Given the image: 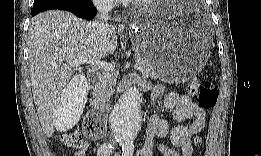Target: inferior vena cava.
Returning <instances> with one entry per match:
<instances>
[{"label": "inferior vena cava", "mask_w": 261, "mask_h": 156, "mask_svg": "<svg viewBox=\"0 0 261 156\" xmlns=\"http://www.w3.org/2000/svg\"><path fill=\"white\" fill-rule=\"evenodd\" d=\"M95 7L97 8L98 14L96 19L91 23V29L93 36L97 39H104L107 35L109 28L108 13L112 10L113 5L111 0H98L95 1Z\"/></svg>", "instance_id": "inferior-vena-cava-1"}]
</instances>
